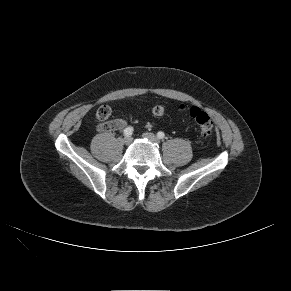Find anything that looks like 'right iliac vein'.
<instances>
[{"instance_id": "63e3f726", "label": "right iliac vein", "mask_w": 291, "mask_h": 291, "mask_svg": "<svg viewBox=\"0 0 291 291\" xmlns=\"http://www.w3.org/2000/svg\"><path fill=\"white\" fill-rule=\"evenodd\" d=\"M131 141H132V138H131L130 136L124 138V143H125L126 145H129V144L131 143Z\"/></svg>"}]
</instances>
